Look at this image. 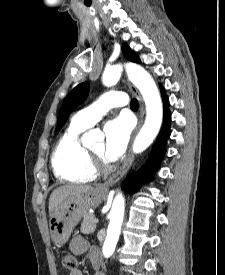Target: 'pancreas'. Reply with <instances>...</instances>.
I'll use <instances>...</instances> for the list:
<instances>
[{"mask_svg":"<svg viewBox=\"0 0 225 275\" xmlns=\"http://www.w3.org/2000/svg\"><path fill=\"white\" fill-rule=\"evenodd\" d=\"M95 216L93 214H86L83 218V221L81 223V232L83 234H90L93 233L96 229V223H94Z\"/></svg>","mask_w":225,"mask_h":275,"instance_id":"obj_1","label":"pancreas"}]
</instances>
